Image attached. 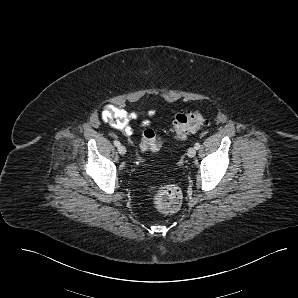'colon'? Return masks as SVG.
<instances>
[{
	"mask_svg": "<svg viewBox=\"0 0 298 298\" xmlns=\"http://www.w3.org/2000/svg\"><path fill=\"white\" fill-rule=\"evenodd\" d=\"M205 125V119L199 111L176 115L172 125V134L177 139H184ZM163 145L162 138L153 130L144 131L141 148L148 152H157ZM151 199L154 207L162 213H174L182 203V192L174 184H164L151 188Z\"/></svg>",
	"mask_w": 298,
	"mask_h": 298,
	"instance_id": "5ec220e1",
	"label": "colon"
}]
</instances>
